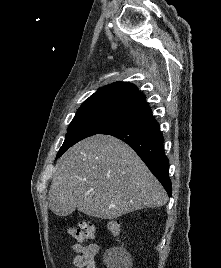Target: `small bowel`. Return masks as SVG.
Returning <instances> with one entry per match:
<instances>
[{
    "instance_id": "small-bowel-1",
    "label": "small bowel",
    "mask_w": 221,
    "mask_h": 268,
    "mask_svg": "<svg viewBox=\"0 0 221 268\" xmlns=\"http://www.w3.org/2000/svg\"><path fill=\"white\" fill-rule=\"evenodd\" d=\"M74 255L69 261L78 268H96L94 257L99 251V246L96 243L87 245L75 244L72 247Z\"/></svg>"
}]
</instances>
